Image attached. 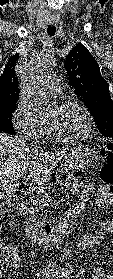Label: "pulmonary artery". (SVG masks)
I'll return each instance as SVG.
<instances>
[{
  "label": "pulmonary artery",
  "instance_id": "1",
  "mask_svg": "<svg viewBox=\"0 0 113 279\" xmlns=\"http://www.w3.org/2000/svg\"><path fill=\"white\" fill-rule=\"evenodd\" d=\"M46 89L47 91L52 94L56 95L61 92V87L59 85V76L58 74H50L46 80Z\"/></svg>",
  "mask_w": 113,
  "mask_h": 279
}]
</instances>
